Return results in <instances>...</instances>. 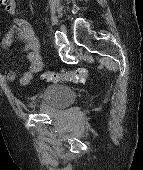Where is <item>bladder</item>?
Instances as JSON below:
<instances>
[{"mask_svg":"<svg viewBox=\"0 0 143 170\" xmlns=\"http://www.w3.org/2000/svg\"><path fill=\"white\" fill-rule=\"evenodd\" d=\"M75 99L76 95L72 88L60 84H50L43 89L39 105L48 110H62L72 105Z\"/></svg>","mask_w":143,"mask_h":170,"instance_id":"1","label":"bladder"}]
</instances>
